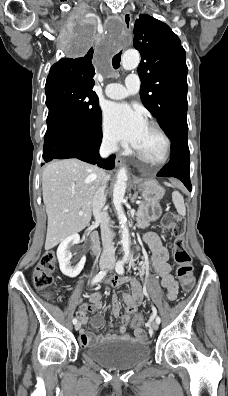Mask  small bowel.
Wrapping results in <instances>:
<instances>
[{
    "instance_id": "small-bowel-1",
    "label": "small bowel",
    "mask_w": 228,
    "mask_h": 396,
    "mask_svg": "<svg viewBox=\"0 0 228 396\" xmlns=\"http://www.w3.org/2000/svg\"><path fill=\"white\" fill-rule=\"evenodd\" d=\"M144 242L149 246L151 250V262L161 279V285L166 290V295L169 300H175L178 295V283L175 281L172 275L171 266L168 263L169 253L168 250L162 245L159 237L155 233H147L143 238ZM130 283L132 287L131 293H122L121 297L126 305V312L122 317V325L119 328V333L114 332L107 335L94 336L91 333L81 329L79 331V341L83 347L93 346L100 342L110 339H127L136 341H146L147 334L141 328H134V334H127V326L130 324L134 313L138 306L143 301V292L140 283L133 277H114L106 280V284L119 287L124 283ZM89 302L81 306L77 315L81 321V324L88 322V314L95 310H99L103 306L102 295L100 293H92L89 296ZM112 313L115 317L120 315V305L117 296H113L112 300ZM104 323V319L100 314H96L91 318V325L94 328H99Z\"/></svg>"
}]
</instances>
